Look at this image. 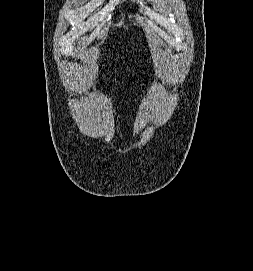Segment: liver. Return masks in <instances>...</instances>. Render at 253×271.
<instances>
[{
	"mask_svg": "<svg viewBox=\"0 0 253 271\" xmlns=\"http://www.w3.org/2000/svg\"><path fill=\"white\" fill-rule=\"evenodd\" d=\"M85 79H86V76L84 75V78L83 79H79V81H80V86H83V87H85V84H86V81H85Z\"/></svg>",
	"mask_w": 253,
	"mask_h": 271,
	"instance_id": "6515ba94",
	"label": "liver"
}]
</instances>
